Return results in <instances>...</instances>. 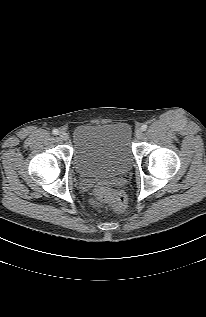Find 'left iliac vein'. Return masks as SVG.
Segmentation results:
<instances>
[{"label": "left iliac vein", "instance_id": "left-iliac-vein-1", "mask_svg": "<svg viewBox=\"0 0 206 317\" xmlns=\"http://www.w3.org/2000/svg\"><path fill=\"white\" fill-rule=\"evenodd\" d=\"M142 129H137L136 132H135V136L136 138L140 139L142 137Z\"/></svg>", "mask_w": 206, "mask_h": 317}]
</instances>
